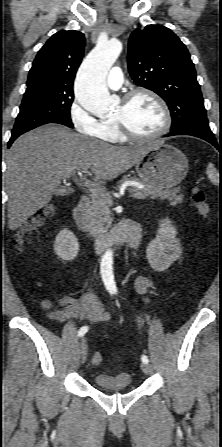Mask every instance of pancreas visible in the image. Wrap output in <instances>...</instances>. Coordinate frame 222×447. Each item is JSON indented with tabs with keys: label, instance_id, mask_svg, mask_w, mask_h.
<instances>
[{
	"label": "pancreas",
	"instance_id": "obj_1",
	"mask_svg": "<svg viewBox=\"0 0 222 447\" xmlns=\"http://www.w3.org/2000/svg\"><path fill=\"white\" fill-rule=\"evenodd\" d=\"M131 179L138 181L144 186L143 189H137L135 187L130 189V191L136 195V198H161L167 199L175 204H180L183 202V195L179 194V189H164L158 185L149 184L137 178ZM128 180V178H124L120 181V183H124ZM91 198L92 206L90 207L87 215V229L91 235L99 236L100 234L106 232L111 226L112 218L110 216V206L112 205V199L109 194H105L104 196L92 195Z\"/></svg>",
	"mask_w": 222,
	"mask_h": 447
}]
</instances>
